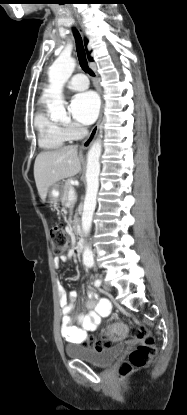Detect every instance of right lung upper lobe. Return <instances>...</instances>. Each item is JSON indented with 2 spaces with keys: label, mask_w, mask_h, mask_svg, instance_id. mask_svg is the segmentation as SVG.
Instances as JSON below:
<instances>
[{
  "label": "right lung upper lobe",
  "mask_w": 187,
  "mask_h": 415,
  "mask_svg": "<svg viewBox=\"0 0 187 415\" xmlns=\"http://www.w3.org/2000/svg\"><path fill=\"white\" fill-rule=\"evenodd\" d=\"M87 44V41H85V45ZM88 57H89V59L91 60V58H90V56H89V53H88Z\"/></svg>",
  "instance_id": "1"
}]
</instances>
